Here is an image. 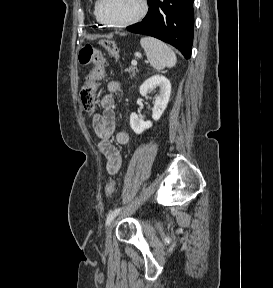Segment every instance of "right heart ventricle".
I'll use <instances>...</instances> for the list:
<instances>
[{"label":"right heart ventricle","mask_w":273,"mask_h":288,"mask_svg":"<svg viewBox=\"0 0 273 288\" xmlns=\"http://www.w3.org/2000/svg\"><path fill=\"white\" fill-rule=\"evenodd\" d=\"M96 4H97V2L94 3L93 15H94L95 19L98 21V19H97V17H96Z\"/></svg>","instance_id":"obj_1"}]
</instances>
